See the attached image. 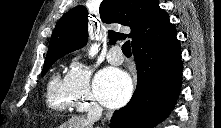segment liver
<instances>
[{
	"label": "liver",
	"mask_w": 221,
	"mask_h": 128,
	"mask_svg": "<svg viewBox=\"0 0 221 128\" xmlns=\"http://www.w3.org/2000/svg\"><path fill=\"white\" fill-rule=\"evenodd\" d=\"M60 128H93V122L86 117L73 116L62 124Z\"/></svg>",
	"instance_id": "liver-1"
}]
</instances>
